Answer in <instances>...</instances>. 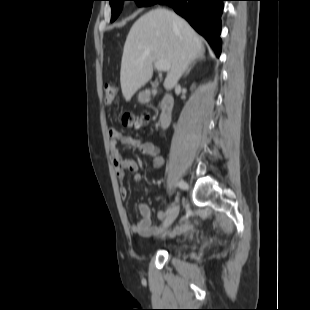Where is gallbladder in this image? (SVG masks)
Masks as SVG:
<instances>
[{
	"label": "gallbladder",
	"instance_id": "1",
	"mask_svg": "<svg viewBox=\"0 0 310 310\" xmlns=\"http://www.w3.org/2000/svg\"><path fill=\"white\" fill-rule=\"evenodd\" d=\"M157 85V83H153V86H156Z\"/></svg>",
	"mask_w": 310,
	"mask_h": 310
}]
</instances>
